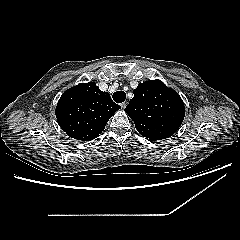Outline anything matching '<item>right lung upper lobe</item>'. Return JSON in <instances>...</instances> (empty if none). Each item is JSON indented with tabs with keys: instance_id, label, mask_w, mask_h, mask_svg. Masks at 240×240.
I'll list each match as a JSON object with an SVG mask.
<instances>
[{
	"instance_id": "cb5924a9",
	"label": "right lung upper lobe",
	"mask_w": 240,
	"mask_h": 240,
	"mask_svg": "<svg viewBox=\"0 0 240 240\" xmlns=\"http://www.w3.org/2000/svg\"><path fill=\"white\" fill-rule=\"evenodd\" d=\"M120 109L109 93L96 83H81L65 91L56 107V118L66 134L81 141H91L105 128L111 116Z\"/></svg>"
}]
</instances>
